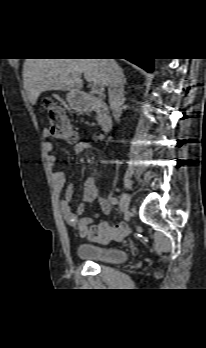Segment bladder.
<instances>
[{
    "instance_id": "1",
    "label": "bladder",
    "mask_w": 206,
    "mask_h": 348,
    "mask_svg": "<svg viewBox=\"0 0 206 348\" xmlns=\"http://www.w3.org/2000/svg\"><path fill=\"white\" fill-rule=\"evenodd\" d=\"M79 258L87 261H99L104 263H119L129 259L126 250L118 247H102L91 244H79L76 248Z\"/></svg>"
}]
</instances>
